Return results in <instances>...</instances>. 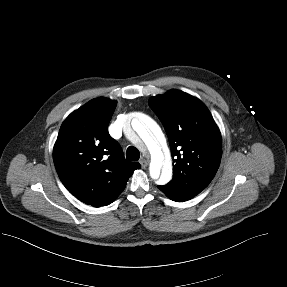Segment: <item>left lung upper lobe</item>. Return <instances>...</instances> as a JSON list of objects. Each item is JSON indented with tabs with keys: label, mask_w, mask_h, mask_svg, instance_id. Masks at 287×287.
Returning <instances> with one entry per match:
<instances>
[{
	"label": "left lung upper lobe",
	"mask_w": 287,
	"mask_h": 287,
	"mask_svg": "<svg viewBox=\"0 0 287 287\" xmlns=\"http://www.w3.org/2000/svg\"><path fill=\"white\" fill-rule=\"evenodd\" d=\"M167 133L173 157L168 187L193 198L214 178L222 155L220 131L208 108L196 97L170 90L149 100Z\"/></svg>",
	"instance_id": "obj_1"
}]
</instances>
